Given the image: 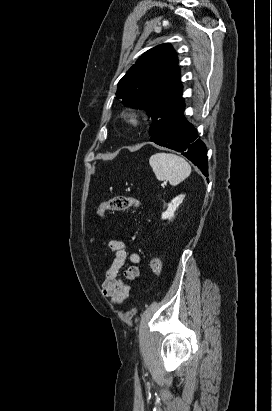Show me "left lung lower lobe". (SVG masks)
<instances>
[{
  "label": "left lung lower lobe",
  "mask_w": 272,
  "mask_h": 411,
  "mask_svg": "<svg viewBox=\"0 0 272 411\" xmlns=\"http://www.w3.org/2000/svg\"><path fill=\"white\" fill-rule=\"evenodd\" d=\"M184 108L172 116L150 138V141L175 151L181 152L208 176L207 150L198 139L194 126L184 118Z\"/></svg>",
  "instance_id": "obj_1"
}]
</instances>
